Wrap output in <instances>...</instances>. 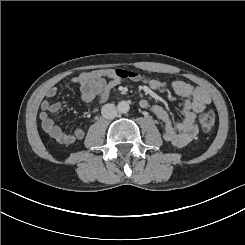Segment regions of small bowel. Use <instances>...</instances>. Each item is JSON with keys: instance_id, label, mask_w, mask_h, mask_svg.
I'll list each match as a JSON object with an SVG mask.
<instances>
[{"instance_id": "1", "label": "small bowel", "mask_w": 245, "mask_h": 245, "mask_svg": "<svg viewBox=\"0 0 245 245\" xmlns=\"http://www.w3.org/2000/svg\"><path fill=\"white\" fill-rule=\"evenodd\" d=\"M72 82L79 86L81 101L89 103L105 100L111 90L121 84L122 79L116 75L114 69H97L82 73L80 76L74 78ZM149 87L154 91H163L170 87L177 95L185 98L180 110L182 116L180 121L172 122L166 110L159 105L151 106V110L163 124V139L175 147L186 146L198 134L199 129L196 118L210 103L209 94L203 88L193 87L182 80L168 82L162 79H151ZM57 92L56 87H51L46 91L40 106L41 112L39 118L42 129L51 138L58 143L68 145L83 139L85 133L82 128H75L73 131L67 133L50 117L51 113H55L61 109L60 102H52ZM140 105L143 108L150 107L147 100H141Z\"/></svg>"}]
</instances>
